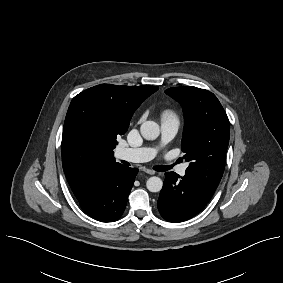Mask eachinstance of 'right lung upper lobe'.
Segmentation results:
<instances>
[{
	"label": "right lung upper lobe",
	"mask_w": 283,
	"mask_h": 283,
	"mask_svg": "<svg viewBox=\"0 0 283 283\" xmlns=\"http://www.w3.org/2000/svg\"><path fill=\"white\" fill-rule=\"evenodd\" d=\"M157 89L158 87L149 85L116 86L101 84L89 88L81 94L86 95L98 104H112L119 107L122 114V124L126 128L129 126L134 111ZM61 148L63 170L76 197L82 193L92 173L99 166L115 162L113 149L94 148L85 144L66 121Z\"/></svg>",
	"instance_id": "cb5924a9"
}]
</instances>
